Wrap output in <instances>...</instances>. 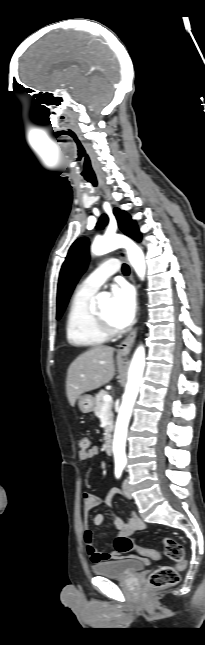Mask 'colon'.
Here are the masks:
<instances>
[{"mask_svg":"<svg viewBox=\"0 0 205 645\" xmlns=\"http://www.w3.org/2000/svg\"><path fill=\"white\" fill-rule=\"evenodd\" d=\"M80 451H87L91 448V441L87 436H80L78 439ZM166 556L175 562V566H161L151 572L148 576V585L151 588L161 589L176 585L180 580L179 572L186 567V559L182 545L170 537L163 540ZM114 549L121 554L136 552L147 559H158L159 553L155 550L140 547L134 544L133 539L127 536H118L114 540Z\"/></svg>","mask_w":205,"mask_h":645,"instance_id":"obj_1","label":"colon"}]
</instances>
